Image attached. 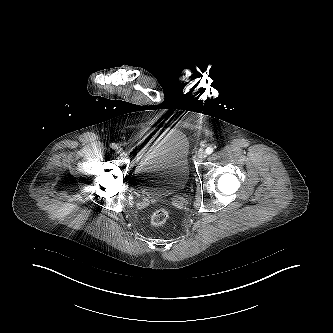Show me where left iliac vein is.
<instances>
[{
  "label": "left iliac vein",
  "mask_w": 333,
  "mask_h": 333,
  "mask_svg": "<svg viewBox=\"0 0 333 333\" xmlns=\"http://www.w3.org/2000/svg\"><path fill=\"white\" fill-rule=\"evenodd\" d=\"M206 156H207V153L202 149L199 150L198 153H197V158L200 159V160L206 158Z\"/></svg>",
  "instance_id": "4c4485c4"
}]
</instances>
